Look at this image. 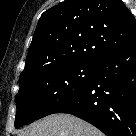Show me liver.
<instances>
[{"label":"liver","mask_w":136,"mask_h":136,"mask_svg":"<svg viewBox=\"0 0 136 136\" xmlns=\"http://www.w3.org/2000/svg\"><path fill=\"white\" fill-rule=\"evenodd\" d=\"M19 136H103L89 123L68 114H54L28 126Z\"/></svg>","instance_id":"obj_1"}]
</instances>
